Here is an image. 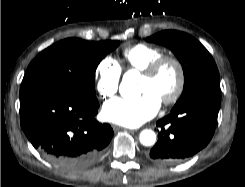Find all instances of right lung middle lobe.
<instances>
[{
    "label": "right lung middle lobe",
    "mask_w": 245,
    "mask_h": 187,
    "mask_svg": "<svg viewBox=\"0 0 245 187\" xmlns=\"http://www.w3.org/2000/svg\"><path fill=\"white\" fill-rule=\"evenodd\" d=\"M119 41L88 42L69 38L43 50L28 66L20 97L42 89H58L97 102L95 71Z\"/></svg>",
    "instance_id": "dd1d6c3e"
}]
</instances>
